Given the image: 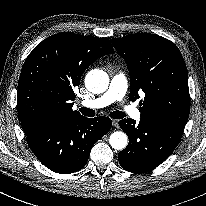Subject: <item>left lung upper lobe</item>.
I'll list each match as a JSON object with an SVG mask.
<instances>
[{
    "label": "left lung upper lobe",
    "mask_w": 206,
    "mask_h": 206,
    "mask_svg": "<svg viewBox=\"0 0 206 206\" xmlns=\"http://www.w3.org/2000/svg\"><path fill=\"white\" fill-rule=\"evenodd\" d=\"M112 44L127 63L130 100L139 91L141 120L184 130L190 111L188 72L177 46L150 33L114 38Z\"/></svg>",
    "instance_id": "obj_1"
}]
</instances>
